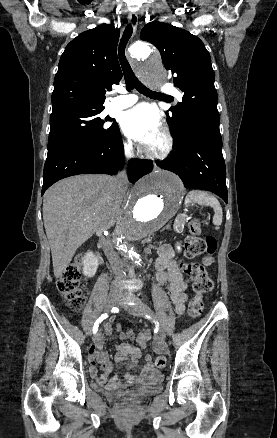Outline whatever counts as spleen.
Wrapping results in <instances>:
<instances>
[{"label":"spleen","mask_w":277,"mask_h":438,"mask_svg":"<svg viewBox=\"0 0 277 438\" xmlns=\"http://www.w3.org/2000/svg\"><path fill=\"white\" fill-rule=\"evenodd\" d=\"M190 202H195V204H200V206H211L214 210L213 224L216 226V230H219V226L222 224L223 212L218 200L214 196H211L208 192L193 190V192H189L188 196H186V206Z\"/></svg>","instance_id":"3e777b00"}]
</instances>
